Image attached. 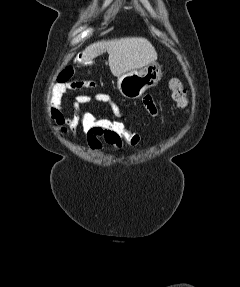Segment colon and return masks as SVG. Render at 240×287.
Here are the masks:
<instances>
[{
    "instance_id": "5ec220e1",
    "label": "colon",
    "mask_w": 240,
    "mask_h": 287,
    "mask_svg": "<svg viewBox=\"0 0 240 287\" xmlns=\"http://www.w3.org/2000/svg\"><path fill=\"white\" fill-rule=\"evenodd\" d=\"M73 68L67 67L61 71L57 77L56 85L59 87L63 97H67L69 115L75 125L78 126L86 135H97L105 139L121 141L130 149H136L142 142V135L130 130L121 118H108L96 115L84 110V95L74 94L76 90L94 85L92 81L80 80L73 81ZM169 88L173 100L180 108H187L188 97L186 90L178 78H172Z\"/></svg>"
}]
</instances>
